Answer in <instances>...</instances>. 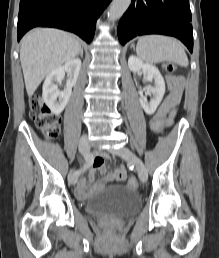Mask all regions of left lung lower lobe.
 <instances>
[{
    "label": "left lung lower lobe",
    "mask_w": 219,
    "mask_h": 258,
    "mask_svg": "<svg viewBox=\"0 0 219 258\" xmlns=\"http://www.w3.org/2000/svg\"><path fill=\"white\" fill-rule=\"evenodd\" d=\"M122 45L145 34H163L180 39L193 51L189 0H132L118 24Z\"/></svg>",
    "instance_id": "left-lung-lower-lobe-1"
}]
</instances>
